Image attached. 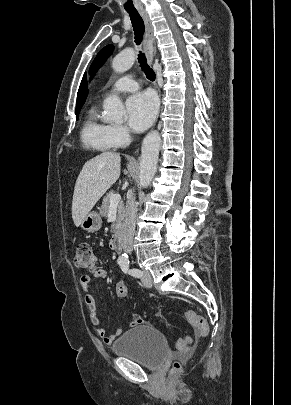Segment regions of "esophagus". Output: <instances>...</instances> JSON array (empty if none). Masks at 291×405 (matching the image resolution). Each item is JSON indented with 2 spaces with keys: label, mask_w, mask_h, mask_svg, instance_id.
<instances>
[{
  "label": "esophagus",
  "mask_w": 291,
  "mask_h": 405,
  "mask_svg": "<svg viewBox=\"0 0 291 405\" xmlns=\"http://www.w3.org/2000/svg\"><path fill=\"white\" fill-rule=\"evenodd\" d=\"M145 23L146 33L143 42V49L146 54L149 64L153 62V42H154V29L152 22L145 11L139 12Z\"/></svg>",
  "instance_id": "esophagus-1"
}]
</instances>
